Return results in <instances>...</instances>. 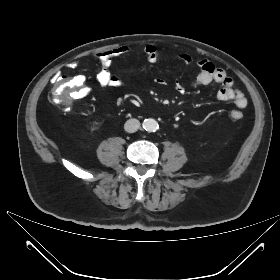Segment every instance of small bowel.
I'll use <instances>...</instances> for the list:
<instances>
[{"mask_svg":"<svg viewBox=\"0 0 280 280\" xmlns=\"http://www.w3.org/2000/svg\"><path fill=\"white\" fill-rule=\"evenodd\" d=\"M132 50L128 46H121L112 50L104 51L96 55V59L100 63V68L96 72L95 79L97 83L102 87L120 88L125 85V80L119 76H116L110 72L111 63L118 58L128 57ZM146 61L149 63L157 62L161 58V54L155 46H148L145 51ZM178 58L184 63L190 64L192 58L185 53L179 54ZM78 64L76 62H70L67 67L71 70H75ZM200 71L195 79L191 82L192 87L205 86L212 83L218 84L220 88L216 92V97L221 101L233 102L237 107L232 111L231 117L233 119L236 113L242 114V110L246 108L248 101L242 91L234 87V82L227 73L216 67L208 60H200L198 62ZM158 84H164L161 79L156 80ZM179 92L184 91V86L180 83L176 85ZM237 120V119H235Z\"/></svg>","mask_w":280,"mask_h":280,"instance_id":"c3829d8e","label":"small bowel"}]
</instances>
